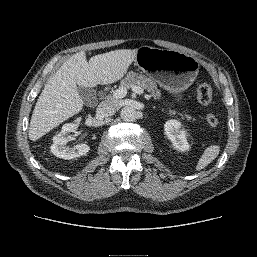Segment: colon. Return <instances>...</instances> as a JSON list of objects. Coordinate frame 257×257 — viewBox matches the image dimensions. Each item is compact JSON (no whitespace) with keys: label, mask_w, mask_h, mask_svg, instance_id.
<instances>
[{"label":"colon","mask_w":257,"mask_h":257,"mask_svg":"<svg viewBox=\"0 0 257 257\" xmlns=\"http://www.w3.org/2000/svg\"><path fill=\"white\" fill-rule=\"evenodd\" d=\"M196 94L199 102L202 105L207 106L211 103L213 90L210 84L205 82L200 83L197 87ZM206 120L211 127H216L219 123L217 116L212 113L207 115Z\"/></svg>","instance_id":"5ec220e1"}]
</instances>
